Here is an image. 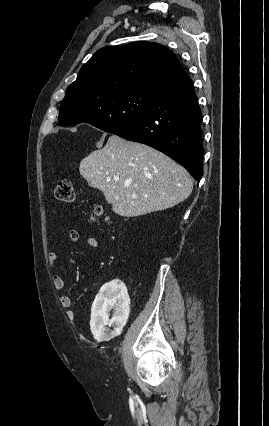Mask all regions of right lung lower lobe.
Returning a JSON list of instances; mask_svg holds the SVG:
<instances>
[{"label": "right lung lower lobe", "mask_w": 269, "mask_h": 426, "mask_svg": "<svg viewBox=\"0 0 269 426\" xmlns=\"http://www.w3.org/2000/svg\"><path fill=\"white\" fill-rule=\"evenodd\" d=\"M202 114L189 77L160 88L148 109L109 133L149 145L181 164L195 180L203 173Z\"/></svg>", "instance_id": "1"}]
</instances>
